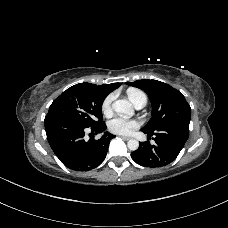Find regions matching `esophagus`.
Masks as SVG:
<instances>
[{
    "label": "esophagus",
    "instance_id": "1",
    "mask_svg": "<svg viewBox=\"0 0 228 228\" xmlns=\"http://www.w3.org/2000/svg\"><path fill=\"white\" fill-rule=\"evenodd\" d=\"M122 139H124V140H130L131 139V137H129V136H120Z\"/></svg>",
    "mask_w": 228,
    "mask_h": 228
}]
</instances>
